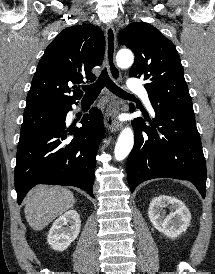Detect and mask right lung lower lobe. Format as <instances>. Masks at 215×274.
Wrapping results in <instances>:
<instances>
[{"label":"right lung lower lobe","instance_id":"98d812e1","mask_svg":"<svg viewBox=\"0 0 215 274\" xmlns=\"http://www.w3.org/2000/svg\"><path fill=\"white\" fill-rule=\"evenodd\" d=\"M63 110L58 119L23 138L17 147L15 189L18 204L37 184H54L81 188L94 198L95 156L104 137L102 113L92 109L84 115L81 128H67Z\"/></svg>","mask_w":215,"mask_h":274}]
</instances>
